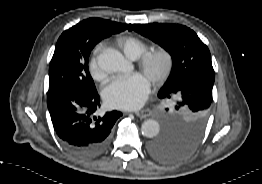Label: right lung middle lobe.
Instances as JSON below:
<instances>
[{
    "instance_id": "obj_1",
    "label": "right lung middle lobe",
    "mask_w": 262,
    "mask_h": 184,
    "mask_svg": "<svg viewBox=\"0 0 262 184\" xmlns=\"http://www.w3.org/2000/svg\"><path fill=\"white\" fill-rule=\"evenodd\" d=\"M113 33L110 29L78 23L63 32L57 41L49 68V88L96 92L88 71V57L94 46Z\"/></svg>"
}]
</instances>
